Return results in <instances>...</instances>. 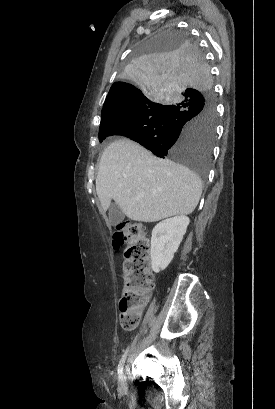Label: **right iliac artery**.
Wrapping results in <instances>:
<instances>
[{"mask_svg": "<svg viewBox=\"0 0 275 409\" xmlns=\"http://www.w3.org/2000/svg\"><path fill=\"white\" fill-rule=\"evenodd\" d=\"M127 353H128V349H126L125 353L123 354V356H122V358H121V360L119 362L118 374H122L123 366H124V363H125V360H126V357H127Z\"/></svg>", "mask_w": 275, "mask_h": 409, "instance_id": "obj_1", "label": "right iliac artery"}]
</instances>
